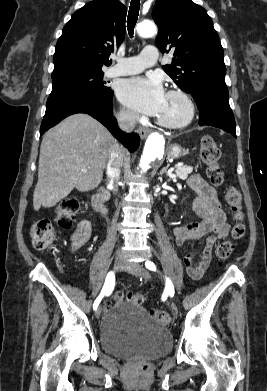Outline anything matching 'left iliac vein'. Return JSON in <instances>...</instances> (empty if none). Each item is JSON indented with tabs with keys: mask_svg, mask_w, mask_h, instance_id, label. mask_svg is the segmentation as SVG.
Returning <instances> with one entry per match:
<instances>
[{
	"mask_svg": "<svg viewBox=\"0 0 267 391\" xmlns=\"http://www.w3.org/2000/svg\"><path fill=\"white\" fill-rule=\"evenodd\" d=\"M125 268L133 275L143 277L145 280H150V273L144 269L140 264H132L131 262H126ZM172 312L177 316L178 307L174 302L170 304Z\"/></svg>",
	"mask_w": 267,
	"mask_h": 391,
	"instance_id": "left-iliac-vein-1",
	"label": "left iliac vein"
}]
</instances>
